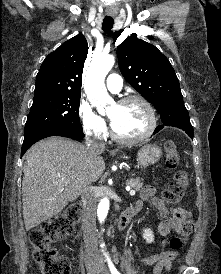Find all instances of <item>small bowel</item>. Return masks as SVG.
Listing matches in <instances>:
<instances>
[{"instance_id":"c3829d8e","label":"small bowel","mask_w":221,"mask_h":274,"mask_svg":"<svg viewBox=\"0 0 221 274\" xmlns=\"http://www.w3.org/2000/svg\"><path fill=\"white\" fill-rule=\"evenodd\" d=\"M146 200H151L159 215L163 218L158 226V233L161 237H166L170 232L183 233L188 218L185 210L166 204L163 199L156 196L153 187L146 186L141 191V200L134 206L137 212L142 208V202ZM164 243L163 241L162 245ZM175 256V251H164L143 257L141 261L145 266L152 268V274H161L163 270L171 268V261Z\"/></svg>"}]
</instances>
